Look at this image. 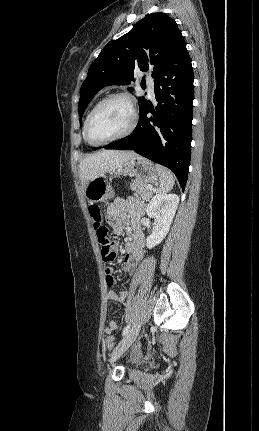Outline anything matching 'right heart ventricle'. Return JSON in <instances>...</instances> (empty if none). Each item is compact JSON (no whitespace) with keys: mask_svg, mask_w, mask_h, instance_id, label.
Returning a JSON list of instances; mask_svg holds the SVG:
<instances>
[{"mask_svg":"<svg viewBox=\"0 0 259 431\" xmlns=\"http://www.w3.org/2000/svg\"><path fill=\"white\" fill-rule=\"evenodd\" d=\"M88 115H89V114H88ZM88 115H87V117H88ZM87 117L85 118V121H84V124H83V137H84V139L86 140V142H87L88 144L92 145V144L87 140L86 135H85V125H86Z\"/></svg>","mask_w":259,"mask_h":431,"instance_id":"1","label":"right heart ventricle"}]
</instances>
